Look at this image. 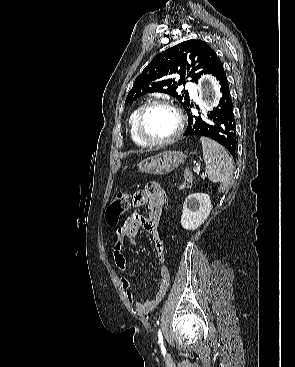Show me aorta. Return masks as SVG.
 Masks as SVG:
<instances>
[{"mask_svg": "<svg viewBox=\"0 0 295 367\" xmlns=\"http://www.w3.org/2000/svg\"><path fill=\"white\" fill-rule=\"evenodd\" d=\"M213 94H214V95H213L214 100H217V99L220 97V92H219V90H215Z\"/></svg>", "mask_w": 295, "mask_h": 367, "instance_id": "762f6f07", "label": "aorta"}]
</instances>
